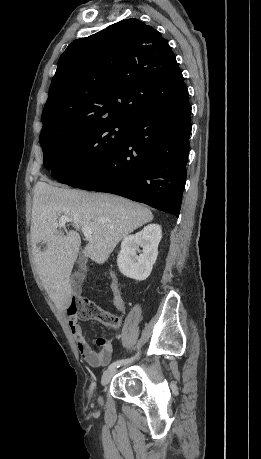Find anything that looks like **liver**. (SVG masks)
I'll use <instances>...</instances> for the list:
<instances>
[{
    "instance_id": "obj_1",
    "label": "liver",
    "mask_w": 261,
    "mask_h": 459,
    "mask_svg": "<svg viewBox=\"0 0 261 459\" xmlns=\"http://www.w3.org/2000/svg\"><path fill=\"white\" fill-rule=\"evenodd\" d=\"M62 215L72 218L76 231L54 228ZM153 220L145 206L121 196L59 188L38 181L34 188L31 238L40 244L35 263L43 286L56 306L65 310L71 303V272L77 260L83 226L92 230L85 247L86 257L103 264L117 244L137 228ZM41 245L43 249L41 250Z\"/></svg>"
}]
</instances>
